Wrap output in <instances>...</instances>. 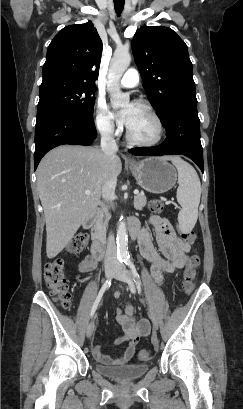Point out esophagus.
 I'll return each instance as SVG.
<instances>
[{
  "label": "esophagus",
  "instance_id": "obj_1",
  "mask_svg": "<svg viewBox=\"0 0 243 409\" xmlns=\"http://www.w3.org/2000/svg\"><path fill=\"white\" fill-rule=\"evenodd\" d=\"M126 160H127L128 162H130V163H133V162H134V159L131 158L130 156H127Z\"/></svg>",
  "mask_w": 243,
  "mask_h": 409
}]
</instances>
